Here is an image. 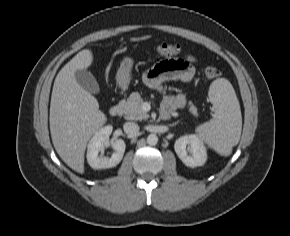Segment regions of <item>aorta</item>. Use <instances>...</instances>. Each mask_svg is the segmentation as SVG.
<instances>
[{
	"mask_svg": "<svg viewBox=\"0 0 290 236\" xmlns=\"http://www.w3.org/2000/svg\"><path fill=\"white\" fill-rule=\"evenodd\" d=\"M147 143L150 146H155L158 143V136L156 134H149L147 137Z\"/></svg>",
	"mask_w": 290,
	"mask_h": 236,
	"instance_id": "aorta-1",
	"label": "aorta"
}]
</instances>
